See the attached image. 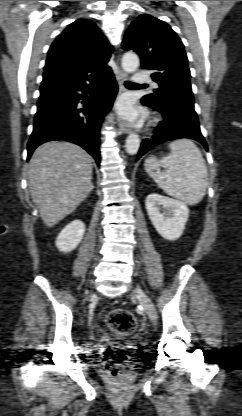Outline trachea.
I'll return each mask as SVG.
<instances>
[{"label": "trachea", "instance_id": "1", "mask_svg": "<svg viewBox=\"0 0 242 416\" xmlns=\"http://www.w3.org/2000/svg\"><path fill=\"white\" fill-rule=\"evenodd\" d=\"M124 84H125L126 87H140V86L147 87L146 84H136V83H133V82H130V81H125Z\"/></svg>", "mask_w": 242, "mask_h": 416}]
</instances>
